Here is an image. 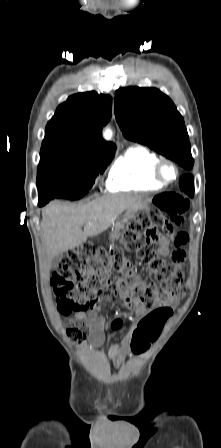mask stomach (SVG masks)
Masks as SVG:
<instances>
[{"label": "stomach", "mask_w": 221, "mask_h": 448, "mask_svg": "<svg viewBox=\"0 0 221 448\" xmlns=\"http://www.w3.org/2000/svg\"><path fill=\"white\" fill-rule=\"evenodd\" d=\"M144 204L142 203L141 207L138 208H129L126 210L125 214L122 215L114 224L113 230L111 233V238L118 239L121 235V230L124 228V226L128 223V221L135 217V214L138 210L144 208Z\"/></svg>", "instance_id": "0dacf381"}]
</instances>
